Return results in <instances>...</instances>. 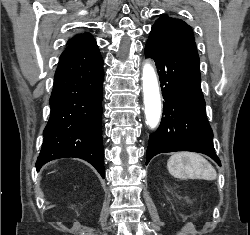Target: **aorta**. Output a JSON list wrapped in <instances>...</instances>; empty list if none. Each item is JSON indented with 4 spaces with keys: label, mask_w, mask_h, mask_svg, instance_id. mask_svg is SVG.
Here are the masks:
<instances>
[{
    "label": "aorta",
    "mask_w": 250,
    "mask_h": 235,
    "mask_svg": "<svg viewBox=\"0 0 250 235\" xmlns=\"http://www.w3.org/2000/svg\"><path fill=\"white\" fill-rule=\"evenodd\" d=\"M142 82L146 123L150 128H155L160 121L161 99L157 76L149 63L143 67Z\"/></svg>",
    "instance_id": "1"
}]
</instances>
